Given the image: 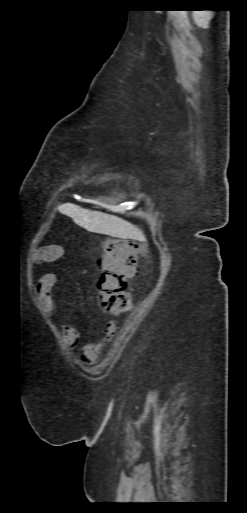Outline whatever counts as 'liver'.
<instances>
[{"mask_svg": "<svg viewBox=\"0 0 247 513\" xmlns=\"http://www.w3.org/2000/svg\"><path fill=\"white\" fill-rule=\"evenodd\" d=\"M59 212L73 219L87 231L123 239H141L143 233L133 224L111 214L84 209L73 203H64Z\"/></svg>", "mask_w": 247, "mask_h": 513, "instance_id": "obj_1", "label": "liver"}]
</instances>
